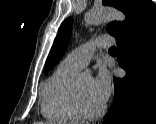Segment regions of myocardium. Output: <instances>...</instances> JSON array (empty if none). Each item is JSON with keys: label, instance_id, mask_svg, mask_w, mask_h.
<instances>
[{"label": "myocardium", "instance_id": "myocardium-1", "mask_svg": "<svg viewBox=\"0 0 156 124\" xmlns=\"http://www.w3.org/2000/svg\"><path fill=\"white\" fill-rule=\"evenodd\" d=\"M79 79H76L74 81L72 87V102H73L74 109L81 119L91 120V119L98 118L104 113L106 109V104L103 103V105L95 111L87 110L81 98Z\"/></svg>", "mask_w": 156, "mask_h": 124}]
</instances>
